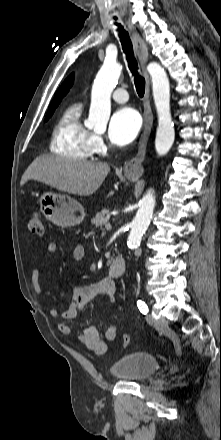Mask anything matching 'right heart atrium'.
I'll use <instances>...</instances> for the list:
<instances>
[{"label": "right heart atrium", "instance_id": "1", "mask_svg": "<svg viewBox=\"0 0 221 440\" xmlns=\"http://www.w3.org/2000/svg\"><path fill=\"white\" fill-rule=\"evenodd\" d=\"M91 147L93 153L97 154L104 153L107 148L103 137L97 133L91 135Z\"/></svg>", "mask_w": 221, "mask_h": 440}]
</instances>
